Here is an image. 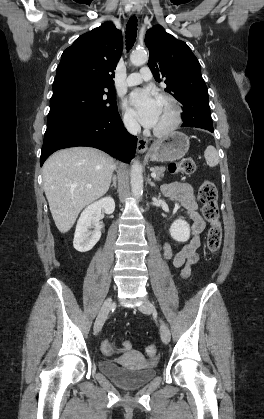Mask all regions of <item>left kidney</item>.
<instances>
[{"mask_svg": "<svg viewBox=\"0 0 264 419\" xmlns=\"http://www.w3.org/2000/svg\"><path fill=\"white\" fill-rule=\"evenodd\" d=\"M171 237L178 242H186L190 237V226L183 219L175 220L169 229Z\"/></svg>", "mask_w": 264, "mask_h": 419, "instance_id": "obj_1", "label": "left kidney"}]
</instances>
